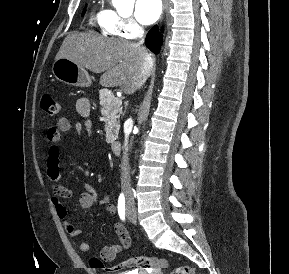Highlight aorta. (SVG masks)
<instances>
[{
  "mask_svg": "<svg viewBox=\"0 0 289 274\" xmlns=\"http://www.w3.org/2000/svg\"><path fill=\"white\" fill-rule=\"evenodd\" d=\"M134 0H112V3L117 8L131 7Z\"/></svg>",
  "mask_w": 289,
  "mask_h": 274,
  "instance_id": "1",
  "label": "aorta"
}]
</instances>
